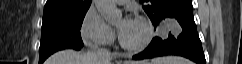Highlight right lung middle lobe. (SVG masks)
Returning a JSON list of instances; mask_svg holds the SVG:
<instances>
[{
	"label": "right lung middle lobe",
	"mask_w": 242,
	"mask_h": 64,
	"mask_svg": "<svg viewBox=\"0 0 242 64\" xmlns=\"http://www.w3.org/2000/svg\"><path fill=\"white\" fill-rule=\"evenodd\" d=\"M87 10L43 15L39 64L56 51L80 50L83 47L80 29Z\"/></svg>",
	"instance_id": "obj_1"
}]
</instances>
